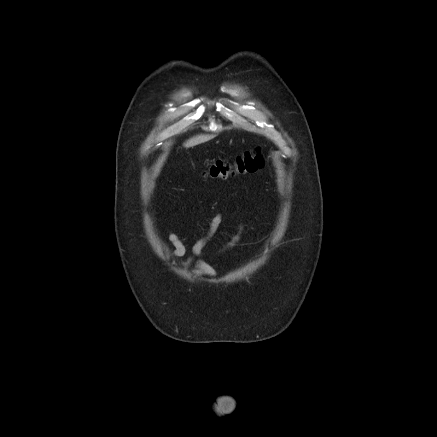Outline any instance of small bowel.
Returning a JSON list of instances; mask_svg holds the SVG:
<instances>
[{
	"mask_svg": "<svg viewBox=\"0 0 437 437\" xmlns=\"http://www.w3.org/2000/svg\"><path fill=\"white\" fill-rule=\"evenodd\" d=\"M222 220L223 217L220 213H217L211 219L206 233L193 245L192 256H190L187 260L182 262L181 265L183 268H188L191 265H194L193 273L196 275L207 276V277H214L217 275V271L215 270V268H213L211 265L206 263L200 257L204 255V251H203L204 246L215 234L216 230L221 225ZM242 231H243V225L240 224L238 227V232L218 252H223L236 246L240 241ZM168 240L173 247L172 249L173 256L183 257L186 254V247L176 233L170 232L168 235Z\"/></svg>",
	"mask_w": 437,
	"mask_h": 437,
	"instance_id": "obj_1",
	"label": "small bowel"
}]
</instances>
